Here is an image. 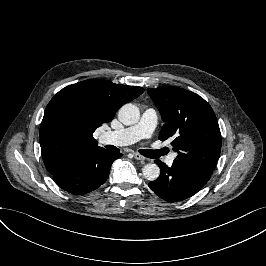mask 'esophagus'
Listing matches in <instances>:
<instances>
[{
	"label": "esophagus",
	"mask_w": 266,
	"mask_h": 266,
	"mask_svg": "<svg viewBox=\"0 0 266 266\" xmlns=\"http://www.w3.org/2000/svg\"><path fill=\"white\" fill-rule=\"evenodd\" d=\"M134 158L136 160H145L146 159L144 156H142L141 154L136 153V152L134 153Z\"/></svg>",
	"instance_id": "obj_1"
}]
</instances>
